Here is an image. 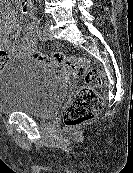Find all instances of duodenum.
<instances>
[{"label":"duodenum","mask_w":133,"mask_h":173,"mask_svg":"<svg viewBox=\"0 0 133 173\" xmlns=\"http://www.w3.org/2000/svg\"><path fill=\"white\" fill-rule=\"evenodd\" d=\"M21 4L22 6L25 8V9H28L30 8V0H21Z\"/></svg>","instance_id":"410a0bca"}]
</instances>
